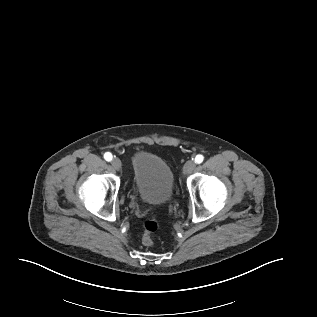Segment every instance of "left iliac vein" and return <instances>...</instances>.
Returning <instances> with one entry per match:
<instances>
[{"label":"left iliac vein","mask_w":317,"mask_h":317,"mask_svg":"<svg viewBox=\"0 0 317 317\" xmlns=\"http://www.w3.org/2000/svg\"><path fill=\"white\" fill-rule=\"evenodd\" d=\"M195 167H196V163L194 161L192 160L187 161L183 167L184 175L191 174L194 171Z\"/></svg>","instance_id":"1"}]
</instances>
